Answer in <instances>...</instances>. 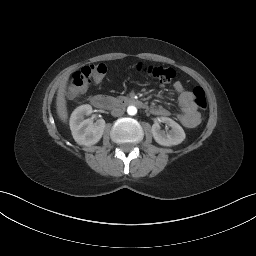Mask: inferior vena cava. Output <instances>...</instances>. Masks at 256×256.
<instances>
[{
  "label": "inferior vena cava",
  "instance_id": "obj_1",
  "mask_svg": "<svg viewBox=\"0 0 256 256\" xmlns=\"http://www.w3.org/2000/svg\"><path fill=\"white\" fill-rule=\"evenodd\" d=\"M124 114V110H122L121 108H113L111 111V115L114 117H119L122 116Z\"/></svg>",
  "mask_w": 256,
  "mask_h": 256
}]
</instances>
